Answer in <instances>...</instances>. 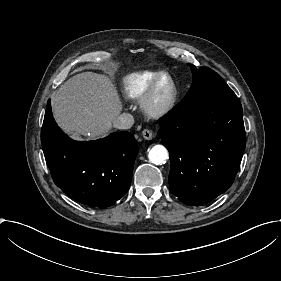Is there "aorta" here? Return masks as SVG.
<instances>
[{
  "label": "aorta",
  "mask_w": 281,
  "mask_h": 281,
  "mask_svg": "<svg viewBox=\"0 0 281 281\" xmlns=\"http://www.w3.org/2000/svg\"><path fill=\"white\" fill-rule=\"evenodd\" d=\"M148 158L150 162L156 165H162L166 163L169 155L167 149L163 145H155L149 150Z\"/></svg>",
  "instance_id": "1"
}]
</instances>
